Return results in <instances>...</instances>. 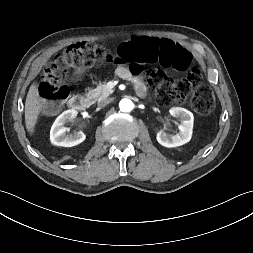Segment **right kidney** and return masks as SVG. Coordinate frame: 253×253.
<instances>
[{
    "instance_id": "obj_1",
    "label": "right kidney",
    "mask_w": 253,
    "mask_h": 253,
    "mask_svg": "<svg viewBox=\"0 0 253 253\" xmlns=\"http://www.w3.org/2000/svg\"><path fill=\"white\" fill-rule=\"evenodd\" d=\"M77 111L74 109L66 110L60 114L54 121L50 130V141L53 145L72 147L82 143L86 135L82 132H76L74 134H67L68 128L64 125L76 118Z\"/></svg>"
}]
</instances>
